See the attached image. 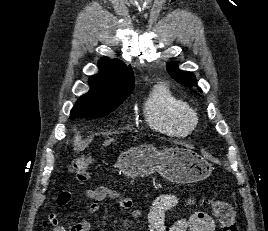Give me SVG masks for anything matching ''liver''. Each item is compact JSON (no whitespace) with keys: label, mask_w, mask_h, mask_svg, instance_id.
<instances>
[{"label":"liver","mask_w":268,"mask_h":231,"mask_svg":"<svg viewBox=\"0 0 268 231\" xmlns=\"http://www.w3.org/2000/svg\"><path fill=\"white\" fill-rule=\"evenodd\" d=\"M110 143H111V140L106 141V142H105V145H108V144H110Z\"/></svg>","instance_id":"6515ba94"}]
</instances>
